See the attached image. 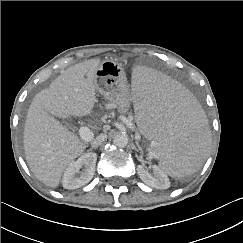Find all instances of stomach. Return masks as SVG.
Listing matches in <instances>:
<instances>
[{"instance_id": "stomach-1", "label": "stomach", "mask_w": 243, "mask_h": 243, "mask_svg": "<svg viewBox=\"0 0 243 243\" xmlns=\"http://www.w3.org/2000/svg\"><path fill=\"white\" fill-rule=\"evenodd\" d=\"M96 91L114 104L119 113L125 114L130 108L129 84L123 68L112 60L101 62L96 71Z\"/></svg>"}]
</instances>
